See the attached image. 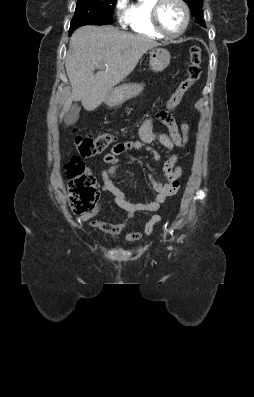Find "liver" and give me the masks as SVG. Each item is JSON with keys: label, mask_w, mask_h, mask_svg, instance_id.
Listing matches in <instances>:
<instances>
[{"label": "liver", "mask_w": 254, "mask_h": 397, "mask_svg": "<svg viewBox=\"0 0 254 397\" xmlns=\"http://www.w3.org/2000/svg\"><path fill=\"white\" fill-rule=\"evenodd\" d=\"M160 44L153 39L122 32L112 26H83L70 39L65 61L72 93L60 120L72 101L81 100L87 111L98 108L110 90L123 81L148 50ZM106 64L94 75L99 65Z\"/></svg>", "instance_id": "liver-1"}]
</instances>
